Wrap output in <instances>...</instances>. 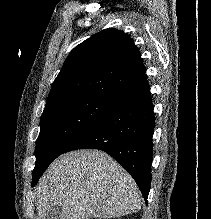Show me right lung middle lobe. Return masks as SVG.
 I'll return each instance as SVG.
<instances>
[{"label":"right lung middle lobe","mask_w":211,"mask_h":219,"mask_svg":"<svg viewBox=\"0 0 211 219\" xmlns=\"http://www.w3.org/2000/svg\"><path fill=\"white\" fill-rule=\"evenodd\" d=\"M116 104L97 97L64 100L44 109L36 141L34 186L49 164Z\"/></svg>","instance_id":"1"}]
</instances>
